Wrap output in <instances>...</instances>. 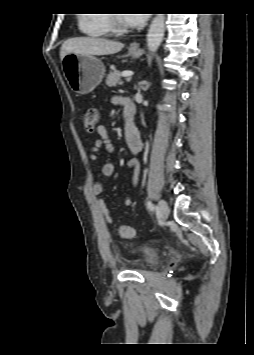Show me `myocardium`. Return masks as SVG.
Masks as SVG:
<instances>
[{"instance_id": "f54148a6", "label": "myocardium", "mask_w": 254, "mask_h": 355, "mask_svg": "<svg viewBox=\"0 0 254 355\" xmlns=\"http://www.w3.org/2000/svg\"><path fill=\"white\" fill-rule=\"evenodd\" d=\"M111 30L116 34H124L129 31L118 15H111Z\"/></svg>"}]
</instances>
